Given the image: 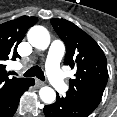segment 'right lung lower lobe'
<instances>
[{
  "label": "right lung lower lobe",
  "instance_id": "98d812e1",
  "mask_svg": "<svg viewBox=\"0 0 117 117\" xmlns=\"http://www.w3.org/2000/svg\"><path fill=\"white\" fill-rule=\"evenodd\" d=\"M35 83L33 78H28L21 87L9 97L2 105H0V117H12L17 110L21 95Z\"/></svg>",
  "mask_w": 117,
  "mask_h": 117
}]
</instances>
